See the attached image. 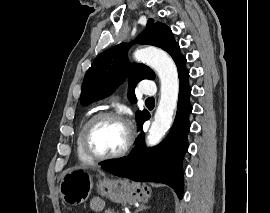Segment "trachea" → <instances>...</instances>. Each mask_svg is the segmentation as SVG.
I'll list each match as a JSON object with an SVG mask.
<instances>
[{
	"mask_svg": "<svg viewBox=\"0 0 270 213\" xmlns=\"http://www.w3.org/2000/svg\"><path fill=\"white\" fill-rule=\"evenodd\" d=\"M152 101H154V98L153 97H150V98H147L146 99V102H152Z\"/></svg>",
	"mask_w": 270,
	"mask_h": 213,
	"instance_id": "3493384b",
	"label": "trachea"
}]
</instances>
